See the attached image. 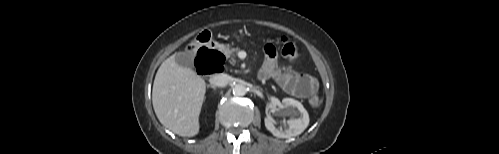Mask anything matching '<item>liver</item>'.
<instances>
[{
  "label": "liver",
  "instance_id": "liver-1",
  "mask_svg": "<svg viewBox=\"0 0 499 154\" xmlns=\"http://www.w3.org/2000/svg\"><path fill=\"white\" fill-rule=\"evenodd\" d=\"M205 92V81L190 68L178 65L174 55L170 56L159 67L152 89L158 120L179 136L197 135Z\"/></svg>",
  "mask_w": 499,
  "mask_h": 154
}]
</instances>
